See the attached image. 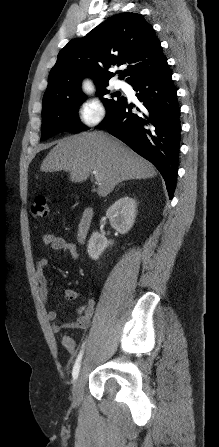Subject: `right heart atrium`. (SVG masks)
<instances>
[{
    "label": "right heart atrium",
    "instance_id": "obj_1",
    "mask_svg": "<svg viewBox=\"0 0 219 447\" xmlns=\"http://www.w3.org/2000/svg\"><path fill=\"white\" fill-rule=\"evenodd\" d=\"M106 109L99 102H90L82 104L77 112V118L80 124L88 129L101 124L106 118Z\"/></svg>",
    "mask_w": 219,
    "mask_h": 447
}]
</instances>
